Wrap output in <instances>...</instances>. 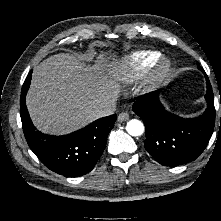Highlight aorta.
<instances>
[{
	"mask_svg": "<svg viewBox=\"0 0 221 221\" xmlns=\"http://www.w3.org/2000/svg\"><path fill=\"white\" fill-rule=\"evenodd\" d=\"M144 124L137 119L130 120L126 125V131L131 136H140L144 133Z\"/></svg>",
	"mask_w": 221,
	"mask_h": 221,
	"instance_id": "762f6f07",
	"label": "aorta"
}]
</instances>
